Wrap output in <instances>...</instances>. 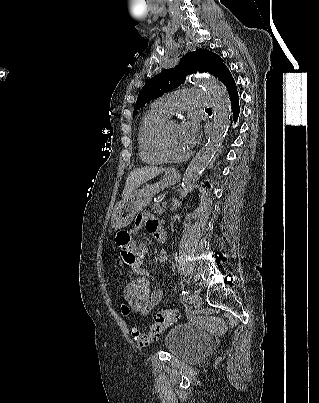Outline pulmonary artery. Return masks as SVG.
I'll return each mask as SVG.
<instances>
[{
  "instance_id": "pulmonary-artery-1",
  "label": "pulmonary artery",
  "mask_w": 319,
  "mask_h": 403,
  "mask_svg": "<svg viewBox=\"0 0 319 403\" xmlns=\"http://www.w3.org/2000/svg\"><path fill=\"white\" fill-rule=\"evenodd\" d=\"M210 95L202 90L184 89L167 94L155 101V106L172 115L190 107L207 108L211 105Z\"/></svg>"
}]
</instances>
